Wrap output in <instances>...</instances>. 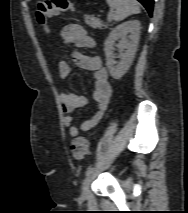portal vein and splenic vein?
<instances>
[{"label":"portal vein and splenic vein","instance_id":"obj_1","mask_svg":"<svg viewBox=\"0 0 188 213\" xmlns=\"http://www.w3.org/2000/svg\"><path fill=\"white\" fill-rule=\"evenodd\" d=\"M110 17H111V15L109 14V15H108V19H109Z\"/></svg>","mask_w":188,"mask_h":213}]
</instances>
